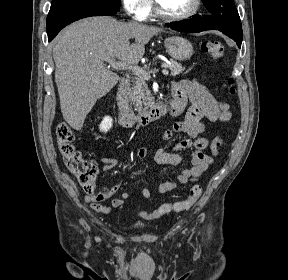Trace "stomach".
<instances>
[{
	"label": "stomach",
	"mask_w": 288,
	"mask_h": 280,
	"mask_svg": "<svg viewBox=\"0 0 288 280\" xmlns=\"http://www.w3.org/2000/svg\"><path fill=\"white\" fill-rule=\"evenodd\" d=\"M167 53L175 60L185 61L193 55L191 42L180 36L168 37L164 40Z\"/></svg>",
	"instance_id": "0dacf381"
}]
</instances>
